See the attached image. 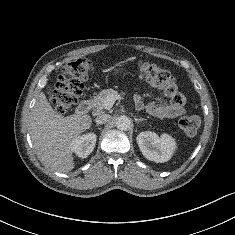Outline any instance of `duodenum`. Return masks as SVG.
Listing matches in <instances>:
<instances>
[{
	"instance_id": "410a0bca",
	"label": "duodenum",
	"mask_w": 235,
	"mask_h": 235,
	"mask_svg": "<svg viewBox=\"0 0 235 235\" xmlns=\"http://www.w3.org/2000/svg\"><path fill=\"white\" fill-rule=\"evenodd\" d=\"M91 107H92L91 100L84 99L79 103L76 111L80 115L87 114L91 110Z\"/></svg>"
}]
</instances>
